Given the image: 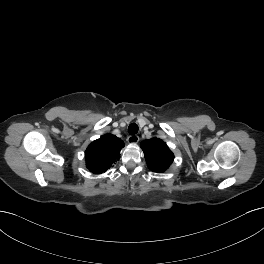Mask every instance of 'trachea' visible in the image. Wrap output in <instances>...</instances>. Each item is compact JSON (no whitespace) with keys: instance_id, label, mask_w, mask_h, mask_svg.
Listing matches in <instances>:
<instances>
[{"instance_id":"1","label":"trachea","mask_w":264,"mask_h":264,"mask_svg":"<svg viewBox=\"0 0 264 264\" xmlns=\"http://www.w3.org/2000/svg\"><path fill=\"white\" fill-rule=\"evenodd\" d=\"M138 125L136 123H132L128 127V132L130 135H135L138 132Z\"/></svg>"}]
</instances>
